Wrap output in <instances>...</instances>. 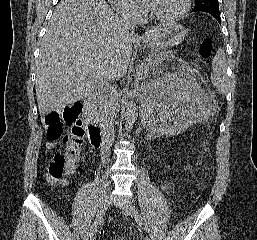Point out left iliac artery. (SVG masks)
<instances>
[{"label":"left iliac artery","mask_w":257,"mask_h":240,"mask_svg":"<svg viewBox=\"0 0 257 240\" xmlns=\"http://www.w3.org/2000/svg\"><path fill=\"white\" fill-rule=\"evenodd\" d=\"M133 210H134V216L136 218V221L141 223L142 222V218H141V215H140L138 209L135 206H133Z\"/></svg>","instance_id":"left-iliac-artery-1"}]
</instances>
